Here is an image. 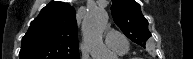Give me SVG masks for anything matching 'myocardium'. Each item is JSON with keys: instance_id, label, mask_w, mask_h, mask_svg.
<instances>
[{"instance_id": "1", "label": "myocardium", "mask_w": 193, "mask_h": 59, "mask_svg": "<svg viewBox=\"0 0 193 59\" xmlns=\"http://www.w3.org/2000/svg\"><path fill=\"white\" fill-rule=\"evenodd\" d=\"M121 59H141V58H135V57H122Z\"/></svg>"}]
</instances>
